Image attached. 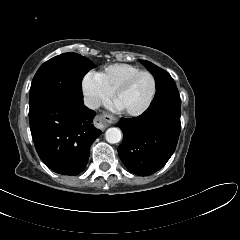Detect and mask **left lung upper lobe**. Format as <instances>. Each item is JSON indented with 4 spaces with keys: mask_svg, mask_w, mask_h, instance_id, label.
<instances>
[{
    "mask_svg": "<svg viewBox=\"0 0 240 240\" xmlns=\"http://www.w3.org/2000/svg\"><path fill=\"white\" fill-rule=\"evenodd\" d=\"M140 62L155 77L156 94L152 104L161 102H180L178 89L169 73L149 61L140 60Z\"/></svg>",
    "mask_w": 240,
    "mask_h": 240,
    "instance_id": "left-lung-upper-lobe-1",
    "label": "left lung upper lobe"
}]
</instances>
